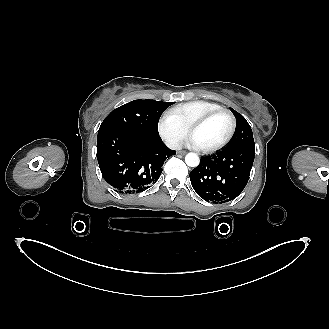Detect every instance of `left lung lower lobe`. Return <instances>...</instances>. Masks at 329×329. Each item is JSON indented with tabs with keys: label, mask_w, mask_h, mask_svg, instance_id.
I'll return each mask as SVG.
<instances>
[{
	"label": "left lung lower lobe",
	"mask_w": 329,
	"mask_h": 329,
	"mask_svg": "<svg viewBox=\"0 0 329 329\" xmlns=\"http://www.w3.org/2000/svg\"><path fill=\"white\" fill-rule=\"evenodd\" d=\"M254 155V147L237 146L204 156L190 173L192 187L206 201L235 199L249 180Z\"/></svg>",
	"instance_id": "left-lung-lower-lobe-1"
}]
</instances>
